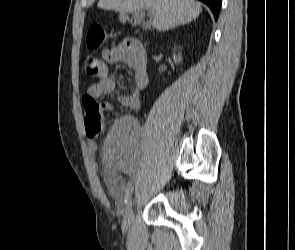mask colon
I'll use <instances>...</instances> for the list:
<instances>
[{"mask_svg": "<svg viewBox=\"0 0 295 250\" xmlns=\"http://www.w3.org/2000/svg\"><path fill=\"white\" fill-rule=\"evenodd\" d=\"M105 30L98 26H92L87 35V43L91 49H97L100 47L106 39ZM84 69L89 76H98L101 71L100 60L94 55L86 56L84 60ZM83 106L85 110V130L89 137H96L99 135L105 126L104 114L106 111L103 106L91 96H84Z\"/></svg>", "mask_w": 295, "mask_h": 250, "instance_id": "1", "label": "colon"}]
</instances>
